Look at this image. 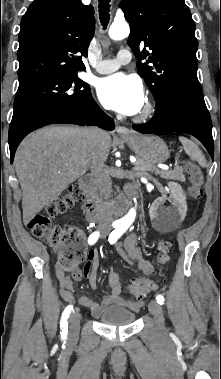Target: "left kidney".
Returning <instances> with one entry per match:
<instances>
[{
  "label": "left kidney",
  "mask_w": 221,
  "mask_h": 379,
  "mask_svg": "<svg viewBox=\"0 0 221 379\" xmlns=\"http://www.w3.org/2000/svg\"><path fill=\"white\" fill-rule=\"evenodd\" d=\"M168 187L173 207L162 206V200L158 198L149 210L154 227L161 230H172L178 227L187 213L186 196L180 184L169 182Z\"/></svg>",
  "instance_id": "obj_1"
}]
</instances>
